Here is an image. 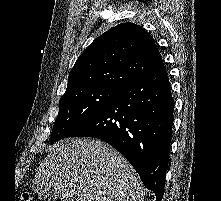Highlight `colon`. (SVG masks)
I'll return each instance as SVG.
<instances>
[{"mask_svg":"<svg viewBox=\"0 0 221 201\" xmlns=\"http://www.w3.org/2000/svg\"><path fill=\"white\" fill-rule=\"evenodd\" d=\"M20 201H36L31 195L29 194H24Z\"/></svg>","mask_w":221,"mask_h":201,"instance_id":"1","label":"colon"}]
</instances>
